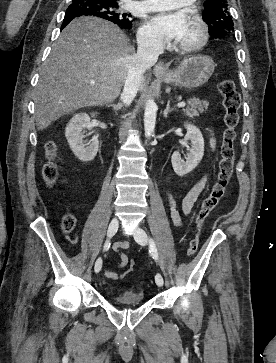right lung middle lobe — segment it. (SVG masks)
<instances>
[{"instance_id": "dd1d6c3e", "label": "right lung middle lobe", "mask_w": 276, "mask_h": 363, "mask_svg": "<svg viewBox=\"0 0 276 363\" xmlns=\"http://www.w3.org/2000/svg\"><path fill=\"white\" fill-rule=\"evenodd\" d=\"M118 3L106 2L101 0H72V4L68 7L66 14L76 11H86L95 14L97 17L104 18L114 23L131 24L127 14L116 13Z\"/></svg>"}]
</instances>
